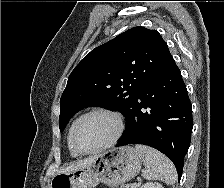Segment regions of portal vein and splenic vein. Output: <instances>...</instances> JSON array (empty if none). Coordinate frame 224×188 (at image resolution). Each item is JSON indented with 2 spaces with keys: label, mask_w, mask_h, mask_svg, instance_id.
Listing matches in <instances>:
<instances>
[{
  "label": "portal vein and splenic vein",
  "mask_w": 224,
  "mask_h": 188,
  "mask_svg": "<svg viewBox=\"0 0 224 188\" xmlns=\"http://www.w3.org/2000/svg\"><path fill=\"white\" fill-rule=\"evenodd\" d=\"M127 188H129V185H127ZM131 188H136V186L135 185H132Z\"/></svg>",
  "instance_id": "obj_1"
}]
</instances>
